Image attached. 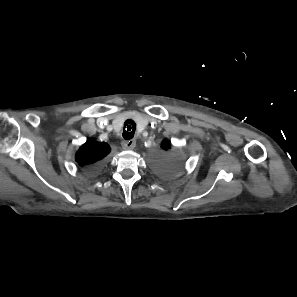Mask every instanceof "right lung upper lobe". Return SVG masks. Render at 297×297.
Instances as JSON below:
<instances>
[{"mask_svg": "<svg viewBox=\"0 0 297 297\" xmlns=\"http://www.w3.org/2000/svg\"><path fill=\"white\" fill-rule=\"evenodd\" d=\"M110 152L107 143H99L93 139L83 144L76 153V161L83 167H93L101 163L103 157Z\"/></svg>", "mask_w": 297, "mask_h": 297, "instance_id": "1", "label": "right lung upper lobe"}]
</instances>
